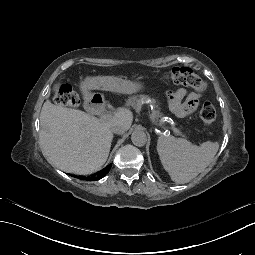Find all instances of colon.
I'll return each instance as SVG.
<instances>
[{
	"instance_id": "1",
	"label": "colon",
	"mask_w": 255,
	"mask_h": 255,
	"mask_svg": "<svg viewBox=\"0 0 255 255\" xmlns=\"http://www.w3.org/2000/svg\"><path fill=\"white\" fill-rule=\"evenodd\" d=\"M166 76L169 81L188 86L197 93H203L207 89V83L187 67H175ZM54 100L57 104L68 107H77L80 103L79 97L69 85H61L54 94ZM200 118L208 126L214 123L216 110L212 103L205 102L202 105Z\"/></svg>"
}]
</instances>
